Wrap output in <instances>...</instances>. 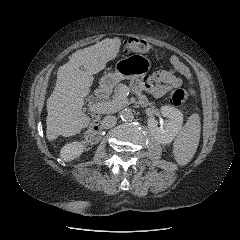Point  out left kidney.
Wrapping results in <instances>:
<instances>
[{
    "label": "left kidney",
    "instance_id": "left-kidney-1",
    "mask_svg": "<svg viewBox=\"0 0 240 240\" xmlns=\"http://www.w3.org/2000/svg\"><path fill=\"white\" fill-rule=\"evenodd\" d=\"M160 112L168 118L165 128L158 127V121L149 117L147 125L153 138L161 144H169L179 134L183 124V114L172 106H162Z\"/></svg>",
    "mask_w": 240,
    "mask_h": 240
}]
</instances>
